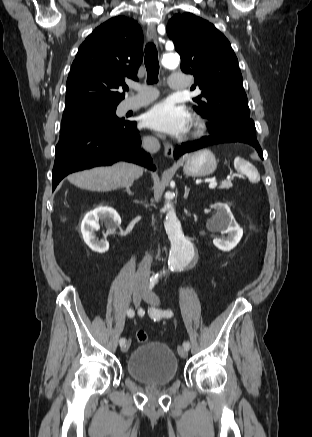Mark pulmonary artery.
<instances>
[{
  "label": "pulmonary artery",
  "instance_id": "e3ab8cb5",
  "mask_svg": "<svg viewBox=\"0 0 312 437\" xmlns=\"http://www.w3.org/2000/svg\"><path fill=\"white\" fill-rule=\"evenodd\" d=\"M188 78L185 74L174 73L170 76L169 84L173 89H186L188 87ZM156 91H142L127 103L128 109H136L144 106L157 98Z\"/></svg>",
  "mask_w": 312,
  "mask_h": 437
}]
</instances>
